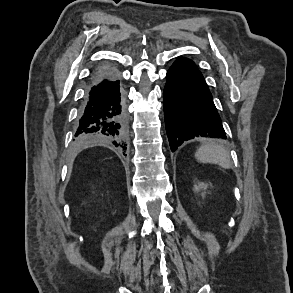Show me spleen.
<instances>
[{"label":"spleen","mask_w":293,"mask_h":293,"mask_svg":"<svg viewBox=\"0 0 293 293\" xmlns=\"http://www.w3.org/2000/svg\"><path fill=\"white\" fill-rule=\"evenodd\" d=\"M195 158L202 163L217 164L224 169L231 168L229 152L222 145L213 142L203 143L197 149Z\"/></svg>","instance_id":"obj_1"}]
</instances>
